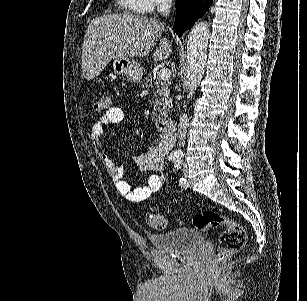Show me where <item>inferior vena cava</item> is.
I'll use <instances>...</instances> for the list:
<instances>
[{"mask_svg": "<svg viewBox=\"0 0 307 301\" xmlns=\"http://www.w3.org/2000/svg\"><path fill=\"white\" fill-rule=\"evenodd\" d=\"M171 6H172V0H160L157 4V12H161V14H170L171 12ZM186 122H188V116L185 114V112H182L180 114L179 118V126H178V144H182L186 138Z\"/></svg>", "mask_w": 307, "mask_h": 301, "instance_id": "obj_1", "label": "inferior vena cava"}]
</instances>
